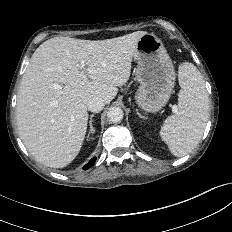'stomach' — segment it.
<instances>
[{
    "label": "stomach",
    "mask_w": 232,
    "mask_h": 232,
    "mask_svg": "<svg viewBox=\"0 0 232 232\" xmlns=\"http://www.w3.org/2000/svg\"><path fill=\"white\" fill-rule=\"evenodd\" d=\"M134 60L136 78L140 84L135 100L148 112L159 111L168 102L175 86V69L162 41L152 33L143 35L137 43Z\"/></svg>",
    "instance_id": "obj_1"
}]
</instances>
